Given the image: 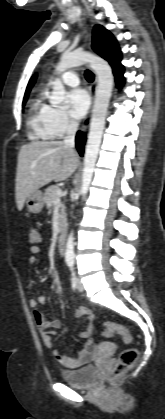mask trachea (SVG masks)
I'll use <instances>...</instances> for the list:
<instances>
[{"label":"trachea","mask_w":165,"mask_h":419,"mask_svg":"<svg viewBox=\"0 0 165 419\" xmlns=\"http://www.w3.org/2000/svg\"><path fill=\"white\" fill-rule=\"evenodd\" d=\"M85 78H86V80L88 82H93V80H94V74L91 71L86 70L85 71Z\"/></svg>","instance_id":"trachea-1"}]
</instances>
